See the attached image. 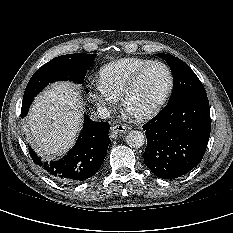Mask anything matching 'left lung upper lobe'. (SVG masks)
Segmentation results:
<instances>
[{
  "instance_id": "left-lung-upper-lobe-1",
  "label": "left lung upper lobe",
  "mask_w": 233,
  "mask_h": 233,
  "mask_svg": "<svg viewBox=\"0 0 233 233\" xmlns=\"http://www.w3.org/2000/svg\"><path fill=\"white\" fill-rule=\"evenodd\" d=\"M170 66L174 84L169 102L190 96H207L196 74L182 60L170 54H158Z\"/></svg>"
}]
</instances>
